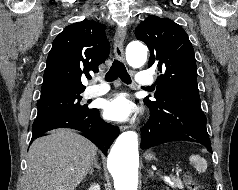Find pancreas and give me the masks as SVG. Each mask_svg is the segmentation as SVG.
Instances as JSON below:
<instances>
[{"mask_svg": "<svg viewBox=\"0 0 238 190\" xmlns=\"http://www.w3.org/2000/svg\"><path fill=\"white\" fill-rule=\"evenodd\" d=\"M167 184L172 188H183V183L179 177L172 178L170 182H167Z\"/></svg>", "mask_w": 238, "mask_h": 190, "instance_id": "pancreas-1", "label": "pancreas"}]
</instances>
